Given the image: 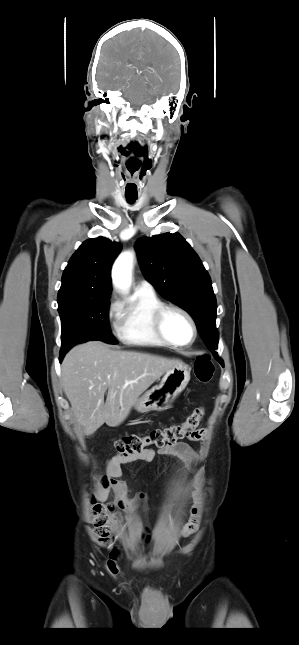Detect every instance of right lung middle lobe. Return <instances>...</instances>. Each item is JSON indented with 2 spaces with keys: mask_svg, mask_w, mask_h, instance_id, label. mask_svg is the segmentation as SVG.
<instances>
[{
  "mask_svg": "<svg viewBox=\"0 0 299 645\" xmlns=\"http://www.w3.org/2000/svg\"><path fill=\"white\" fill-rule=\"evenodd\" d=\"M109 299L110 295L73 298L58 304L62 343L60 355H65L74 345L90 340L117 343L109 328Z\"/></svg>",
  "mask_w": 299,
  "mask_h": 645,
  "instance_id": "1",
  "label": "right lung middle lobe"
}]
</instances>
